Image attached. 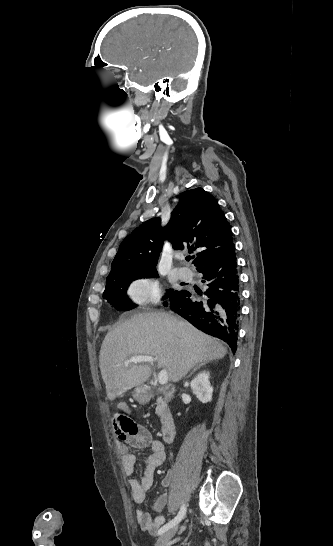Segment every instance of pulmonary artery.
Instances as JSON below:
<instances>
[{"label": "pulmonary artery", "instance_id": "obj_1", "mask_svg": "<svg viewBox=\"0 0 333 546\" xmlns=\"http://www.w3.org/2000/svg\"><path fill=\"white\" fill-rule=\"evenodd\" d=\"M194 273L187 267H180L178 269V276L181 280L189 281L193 278Z\"/></svg>", "mask_w": 333, "mask_h": 546}]
</instances>
